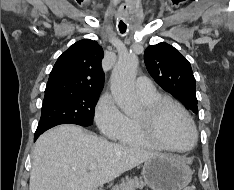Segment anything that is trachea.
<instances>
[{"instance_id": "trachea-1", "label": "trachea", "mask_w": 234, "mask_h": 190, "mask_svg": "<svg viewBox=\"0 0 234 190\" xmlns=\"http://www.w3.org/2000/svg\"><path fill=\"white\" fill-rule=\"evenodd\" d=\"M119 30H120L121 33H125L126 25L119 24Z\"/></svg>"}]
</instances>
